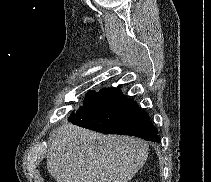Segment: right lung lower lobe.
Here are the masks:
<instances>
[{
  "mask_svg": "<svg viewBox=\"0 0 211 182\" xmlns=\"http://www.w3.org/2000/svg\"><path fill=\"white\" fill-rule=\"evenodd\" d=\"M69 122L106 134H123L159 142L158 131L148 114L117 88L88 92L83 106L72 112Z\"/></svg>",
  "mask_w": 211,
  "mask_h": 182,
  "instance_id": "obj_1",
  "label": "right lung lower lobe"
}]
</instances>
